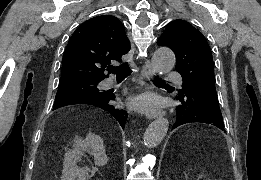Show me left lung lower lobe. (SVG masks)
<instances>
[{
	"instance_id": "left-lung-lower-lobe-1",
	"label": "left lung lower lobe",
	"mask_w": 261,
	"mask_h": 180,
	"mask_svg": "<svg viewBox=\"0 0 261 180\" xmlns=\"http://www.w3.org/2000/svg\"><path fill=\"white\" fill-rule=\"evenodd\" d=\"M176 99L179 104L176 107L173 128L191 122H202L225 131L217 96L202 91L192 82L183 81L182 89L178 92Z\"/></svg>"
}]
</instances>
